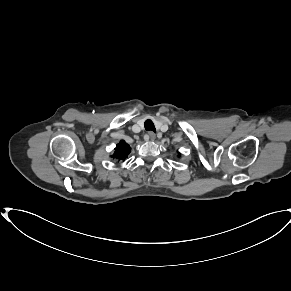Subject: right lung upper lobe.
Here are the masks:
<instances>
[{
  "mask_svg": "<svg viewBox=\"0 0 291 291\" xmlns=\"http://www.w3.org/2000/svg\"><path fill=\"white\" fill-rule=\"evenodd\" d=\"M130 146L125 143V141H121L119 144L116 145V148L112 154V157L117 160H125L127 155L130 153Z\"/></svg>",
  "mask_w": 291,
  "mask_h": 291,
  "instance_id": "1",
  "label": "right lung upper lobe"
}]
</instances>
